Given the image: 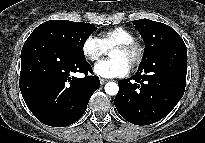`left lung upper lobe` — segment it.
I'll use <instances>...</instances> for the list:
<instances>
[{"label":"left lung upper lobe","instance_id":"1","mask_svg":"<svg viewBox=\"0 0 205 143\" xmlns=\"http://www.w3.org/2000/svg\"><path fill=\"white\" fill-rule=\"evenodd\" d=\"M132 22L145 41V52L139 69L150 68L154 64L159 66L165 64L166 60H161L158 63L155 54L167 44L182 39L179 34L172 27L149 19L134 20ZM152 68H156V66Z\"/></svg>","mask_w":205,"mask_h":143}]
</instances>
